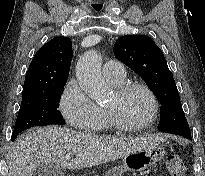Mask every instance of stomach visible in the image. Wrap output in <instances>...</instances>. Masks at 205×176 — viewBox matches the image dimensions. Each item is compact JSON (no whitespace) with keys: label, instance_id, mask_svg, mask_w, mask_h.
<instances>
[{"label":"stomach","instance_id":"obj_1","mask_svg":"<svg viewBox=\"0 0 205 176\" xmlns=\"http://www.w3.org/2000/svg\"><path fill=\"white\" fill-rule=\"evenodd\" d=\"M164 155L165 149L162 146L130 153L123 158L122 166L108 172L107 176H122L125 171H144L156 162L161 161Z\"/></svg>","mask_w":205,"mask_h":176}]
</instances>
